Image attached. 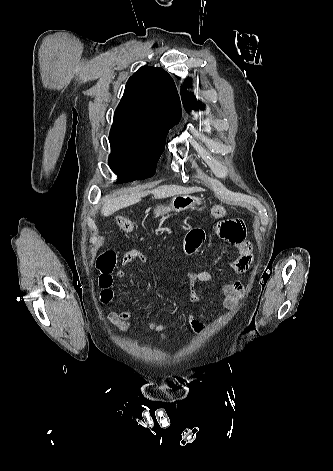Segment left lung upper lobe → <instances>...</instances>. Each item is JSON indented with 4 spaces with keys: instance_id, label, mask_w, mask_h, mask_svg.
Wrapping results in <instances>:
<instances>
[{
    "instance_id": "obj_1",
    "label": "left lung upper lobe",
    "mask_w": 333,
    "mask_h": 471,
    "mask_svg": "<svg viewBox=\"0 0 333 471\" xmlns=\"http://www.w3.org/2000/svg\"><path fill=\"white\" fill-rule=\"evenodd\" d=\"M181 96H182L183 105L187 112H189L190 110L196 107H201L199 102H197L196 98L194 97V94L192 92H188L185 89V86L182 87L181 89Z\"/></svg>"
}]
</instances>
